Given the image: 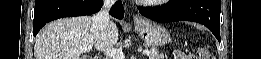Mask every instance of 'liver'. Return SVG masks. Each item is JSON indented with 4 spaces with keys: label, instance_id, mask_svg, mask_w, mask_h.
Here are the masks:
<instances>
[{
    "label": "liver",
    "instance_id": "1",
    "mask_svg": "<svg viewBox=\"0 0 261 59\" xmlns=\"http://www.w3.org/2000/svg\"><path fill=\"white\" fill-rule=\"evenodd\" d=\"M118 36L114 22L99 31L92 27L91 16L63 18L42 28L36 37L34 56L35 59H86L74 51L85 46L106 51L117 44Z\"/></svg>",
    "mask_w": 261,
    "mask_h": 59
}]
</instances>
